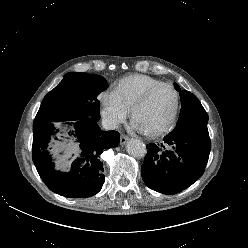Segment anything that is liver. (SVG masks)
<instances>
[{
  "label": "liver",
  "mask_w": 248,
  "mask_h": 248,
  "mask_svg": "<svg viewBox=\"0 0 248 248\" xmlns=\"http://www.w3.org/2000/svg\"><path fill=\"white\" fill-rule=\"evenodd\" d=\"M59 147H62V148H59ZM64 148H67V150L65 151V154L62 157H60V160L58 161V164L63 168L68 166L69 164L68 160L69 158L72 157V155L76 156L79 153L78 146L75 143H72V144L56 143L53 146V151L58 153Z\"/></svg>",
  "instance_id": "6515ba94"
}]
</instances>
